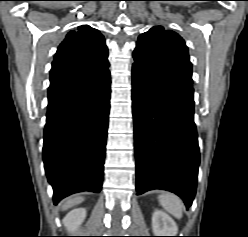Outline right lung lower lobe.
Returning <instances> with one entry per match:
<instances>
[{"label": "right lung lower lobe", "mask_w": 248, "mask_h": 237, "mask_svg": "<svg viewBox=\"0 0 248 237\" xmlns=\"http://www.w3.org/2000/svg\"><path fill=\"white\" fill-rule=\"evenodd\" d=\"M109 109L108 67L50 84L43 161L54 204L73 193L100 192Z\"/></svg>", "instance_id": "right-lung-lower-lobe-1"}]
</instances>
